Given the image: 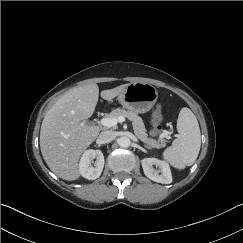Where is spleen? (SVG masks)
<instances>
[{
	"instance_id": "3e777b00",
	"label": "spleen",
	"mask_w": 243,
	"mask_h": 243,
	"mask_svg": "<svg viewBox=\"0 0 243 243\" xmlns=\"http://www.w3.org/2000/svg\"><path fill=\"white\" fill-rule=\"evenodd\" d=\"M177 130L179 137L163 152L164 159L177 169L191 166L198 157L201 147V133L196 116L184 107L181 109Z\"/></svg>"
}]
</instances>
